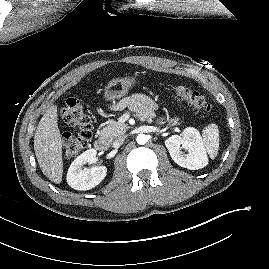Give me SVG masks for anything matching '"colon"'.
<instances>
[{
	"label": "colon",
	"mask_w": 269,
	"mask_h": 269,
	"mask_svg": "<svg viewBox=\"0 0 269 269\" xmlns=\"http://www.w3.org/2000/svg\"><path fill=\"white\" fill-rule=\"evenodd\" d=\"M175 91L179 98L195 109L204 114L212 113V106L199 92L184 86L176 87ZM60 115L74 130L73 133L65 134L63 139L64 154L68 159H72L79 155L90 141L92 137V119L76 97H68L65 100Z\"/></svg>",
	"instance_id": "1"
}]
</instances>
